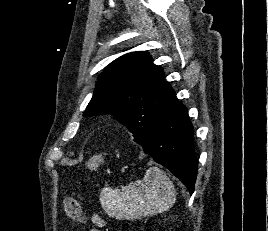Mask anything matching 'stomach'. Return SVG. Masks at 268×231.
Instances as JSON below:
<instances>
[{
	"mask_svg": "<svg viewBox=\"0 0 268 231\" xmlns=\"http://www.w3.org/2000/svg\"><path fill=\"white\" fill-rule=\"evenodd\" d=\"M103 161L104 160L101 155H95L86 163V165L90 170H97Z\"/></svg>",
	"mask_w": 268,
	"mask_h": 231,
	"instance_id": "0dacf381",
	"label": "stomach"
}]
</instances>
